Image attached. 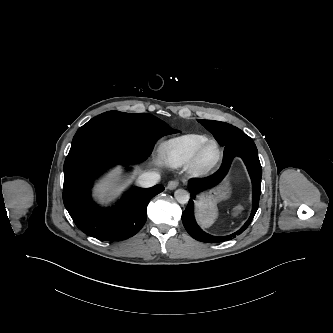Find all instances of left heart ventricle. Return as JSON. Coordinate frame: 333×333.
Segmentation results:
<instances>
[{
  "mask_svg": "<svg viewBox=\"0 0 333 333\" xmlns=\"http://www.w3.org/2000/svg\"><path fill=\"white\" fill-rule=\"evenodd\" d=\"M217 155L216 149L213 146L208 147L203 154V161L209 163L215 159Z\"/></svg>",
  "mask_w": 333,
  "mask_h": 333,
  "instance_id": "obj_1",
  "label": "left heart ventricle"
}]
</instances>
